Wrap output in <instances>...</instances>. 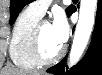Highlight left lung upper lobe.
Segmentation results:
<instances>
[{
    "label": "left lung upper lobe",
    "instance_id": "obj_1",
    "mask_svg": "<svg viewBox=\"0 0 102 75\" xmlns=\"http://www.w3.org/2000/svg\"><path fill=\"white\" fill-rule=\"evenodd\" d=\"M33 0H11L10 5V24L12 25L14 21L16 20L18 14L23 9V7L29 3H31ZM72 6H69L66 9V13L69 16L72 11Z\"/></svg>",
    "mask_w": 102,
    "mask_h": 75
}]
</instances>
